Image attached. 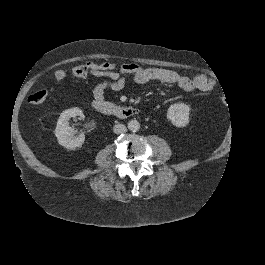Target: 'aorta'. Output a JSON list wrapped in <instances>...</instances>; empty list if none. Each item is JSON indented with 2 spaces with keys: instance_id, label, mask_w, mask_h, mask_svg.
<instances>
[{
  "instance_id": "762f6f07",
  "label": "aorta",
  "mask_w": 265,
  "mask_h": 265,
  "mask_svg": "<svg viewBox=\"0 0 265 265\" xmlns=\"http://www.w3.org/2000/svg\"><path fill=\"white\" fill-rule=\"evenodd\" d=\"M140 128V124L137 120H130L128 121V129L132 132H135L137 130H139Z\"/></svg>"
}]
</instances>
